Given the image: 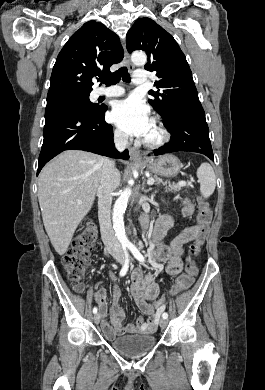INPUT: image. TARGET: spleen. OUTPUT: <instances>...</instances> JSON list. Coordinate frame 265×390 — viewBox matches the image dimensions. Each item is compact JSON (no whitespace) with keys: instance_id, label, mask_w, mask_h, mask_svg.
I'll use <instances>...</instances> for the list:
<instances>
[{"instance_id":"3e777b00","label":"spleen","mask_w":265,"mask_h":390,"mask_svg":"<svg viewBox=\"0 0 265 390\" xmlns=\"http://www.w3.org/2000/svg\"><path fill=\"white\" fill-rule=\"evenodd\" d=\"M197 177L200 182L201 194L208 198L216 187V177L212 166L209 163H202L197 169Z\"/></svg>"}]
</instances>
